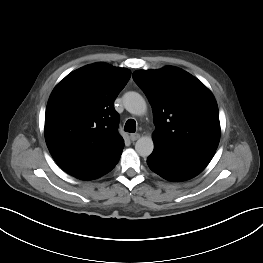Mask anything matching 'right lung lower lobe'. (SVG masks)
Masks as SVG:
<instances>
[{
  "instance_id": "right-lung-lower-lobe-1",
  "label": "right lung lower lobe",
  "mask_w": 263,
  "mask_h": 263,
  "mask_svg": "<svg viewBox=\"0 0 263 263\" xmlns=\"http://www.w3.org/2000/svg\"><path fill=\"white\" fill-rule=\"evenodd\" d=\"M120 156H121V154H119L112 161H110L108 164L104 165L101 168L77 174V175H75V177L82 179V180H92V179L99 178V177L103 176L104 174L108 173L109 171H111L115 167V165L118 163V161L120 159Z\"/></svg>"
}]
</instances>
